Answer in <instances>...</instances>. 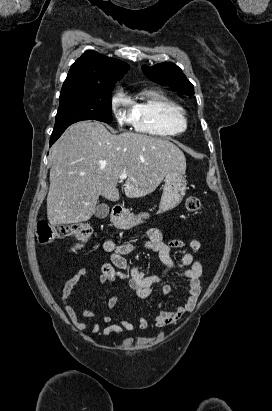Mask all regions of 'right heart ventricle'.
Masks as SVG:
<instances>
[{
    "mask_svg": "<svg viewBox=\"0 0 272 411\" xmlns=\"http://www.w3.org/2000/svg\"><path fill=\"white\" fill-rule=\"evenodd\" d=\"M132 106L133 125L139 132L168 137L185 131L187 118L184 109L160 92L145 90L127 96Z\"/></svg>",
    "mask_w": 272,
    "mask_h": 411,
    "instance_id": "1",
    "label": "right heart ventricle"
}]
</instances>
